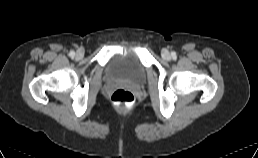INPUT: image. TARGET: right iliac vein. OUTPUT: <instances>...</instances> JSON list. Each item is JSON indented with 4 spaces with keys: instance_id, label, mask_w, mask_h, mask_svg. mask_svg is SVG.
I'll list each match as a JSON object with an SVG mask.
<instances>
[{
    "instance_id": "1",
    "label": "right iliac vein",
    "mask_w": 258,
    "mask_h": 158,
    "mask_svg": "<svg viewBox=\"0 0 258 158\" xmlns=\"http://www.w3.org/2000/svg\"><path fill=\"white\" fill-rule=\"evenodd\" d=\"M82 57H83V51L82 50H78L76 52V58L81 59Z\"/></svg>"
}]
</instances>
